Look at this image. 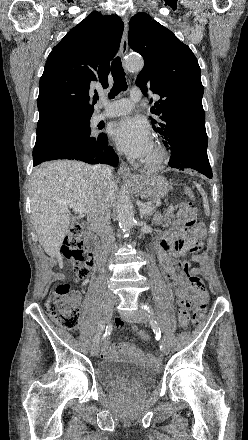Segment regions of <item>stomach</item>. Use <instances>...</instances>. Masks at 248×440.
<instances>
[{
	"label": "stomach",
	"instance_id": "0dacf381",
	"mask_svg": "<svg viewBox=\"0 0 248 440\" xmlns=\"http://www.w3.org/2000/svg\"><path fill=\"white\" fill-rule=\"evenodd\" d=\"M135 191L144 198H162L168 195L170 185L162 176L143 175L134 182Z\"/></svg>",
	"mask_w": 248,
	"mask_h": 440
}]
</instances>
